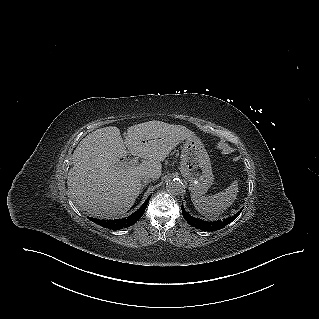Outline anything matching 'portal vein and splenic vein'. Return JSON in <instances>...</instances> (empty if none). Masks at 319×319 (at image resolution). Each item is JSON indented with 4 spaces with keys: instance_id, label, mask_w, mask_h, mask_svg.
Returning a JSON list of instances; mask_svg holds the SVG:
<instances>
[{
    "instance_id": "portal-vein-and-splenic-vein-1",
    "label": "portal vein and splenic vein",
    "mask_w": 319,
    "mask_h": 319,
    "mask_svg": "<svg viewBox=\"0 0 319 319\" xmlns=\"http://www.w3.org/2000/svg\"><path fill=\"white\" fill-rule=\"evenodd\" d=\"M138 164V159L137 158H132L126 161L121 162L122 166H128V165H137Z\"/></svg>"
}]
</instances>
